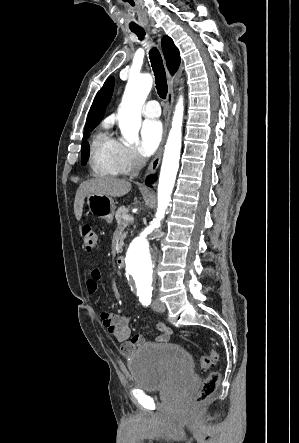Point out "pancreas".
<instances>
[{"mask_svg": "<svg viewBox=\"0 0 299 443\" xmlns=\"http://www.w3.org/2000/svg\"><path fill=\"white\" fill-rule=\"evenodd\" d=\"M128 212H129V209L125 208L124 206H121V207L118 208V210L116 211V214H115V219H116L118 224H126V225H128L129 223L132 222V220H128L127 221V220L123 219V217L125 215H128Z\"/></svg>", "mask_w": 299, "mask_h": 443, "instance_id": "1", "label": "pancreas"}]
</instances>
